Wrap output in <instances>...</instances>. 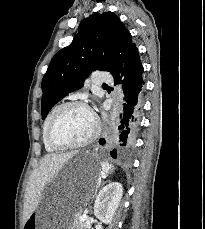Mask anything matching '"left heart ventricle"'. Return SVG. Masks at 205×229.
I'll return each mask as SVG.
<instances>
[{
	"label": "left heart ventricle",
	"mask_w": 205,
	"mask_h": 229,
	"mask_svg": "<svg viewBox=\"0 0 205 229\" xmlns=\"http://www.w3.org/2000/svg\"><path fill=\"white\" fill-rule=\"evenodd\" d=\"M94 120L88 110L82 107L66 109L58 119L53 137L60 144L79 142L90 135Z\"/></svg>",
	"instance_id": "left-heart-ventricle-1"
}]
</instances>
